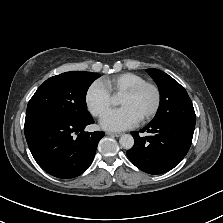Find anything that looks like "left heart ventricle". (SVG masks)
<instances>
[{"label":"left heart ventricle","mask_w":223,"mask_h":223,"mask_svg":"<svg viewBox=\"0 0 223 223\" xmlns=\"http://www.w3.org/2000/svg\"><path fill=\"white\" fill-rule=\"evenodd\" d=\"M154 103V94L150 88H144L133 97H119V104L122 107H129L140 119L147 114Z\"/></svg>","instance_id":"1"}]
</instances>
